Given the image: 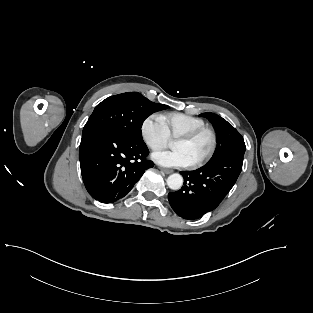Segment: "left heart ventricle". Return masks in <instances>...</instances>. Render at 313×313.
<instances>
[{
    "label": "left heart ventricle",
    "instance_id": "left-heart-ventricle-1",
    "mask_svg": "<svg viewBox=\"0 0 313 313\" xmlns=\"http://www.w3.org/2000/svg\"><path fill=\"white\" fill-rule=\"evenodd\" d=\"M211 146V136L204 133L192 141L175 140L173 147L183 150L190 162H194L204 156Z\"/></svg>",
    "mask_w": 313,
    "mask_h": 313
}]
</instances>
